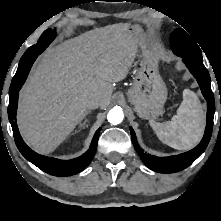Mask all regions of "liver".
I'll list each match as a JSON object with an SVG mask.
<instances>
[{"mask_svg":"<svg viewBox=\"0 0 221 221\" xmlns=\"http://www.w3.org/2000/svg\"><path fill=\"white\" fill-rule=\"evenodd\" d=\"M119 23L96 28L48 48L33 66L19 96L17 123L24 140L41 153L53 152L81 122L86 102L100 108L111 100L114 82L126 78L137 39Z\"/></svg>","mask_w":221,"mask_h":221,"instance_id":"obj_1","label":"liver"}]
</instances>
